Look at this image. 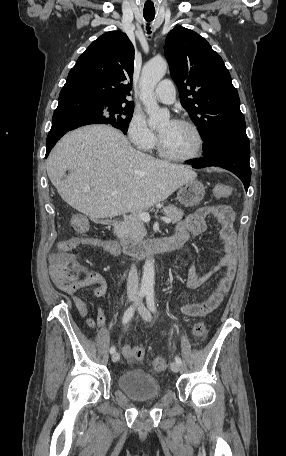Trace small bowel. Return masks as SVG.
<instances>
[{
  "instance_id": "small-bowel-1",
  "label": "small bowel",
  "mask_w": 286,
  "mask_h": 456,
  "mask_svg": "<svg viewBox=\"0 0 286 456\" xmlns=\"http://www.w3.org/2000/svg\"><path fill=\"white\" fill-rule=\"evenodd\" d=\"M210 219L215 220L221 226V240L225 252L224 257L220 266L214 271L206 272L202 266H191L187 272V284L192 289H199L207 283L219 268H224V276L219 281L217 288L203 301L185 304L178 308L183 315L188 317H202L213 312L229 291L236 274L239 249L236 243V233L233 228L234 213L229 206L215 205L199 208L196 212L187 215L177 223L174 235L184 238L185 241L190 234L200 235L207 230ZM81 246L98 248L113 256H120L121 254L120 247L117 243L101 237L74 236L59 243L60 249L66 247L68 251ZM54 283L58 289L72 296L77 310L82 316L87 317L89 327H94L96 324L101 328L106 327V317L103 309L97 306L96 316H89L86 303L81 297L76 295L78 290H87L93 296H104L108 291V283L102 274L94 271L88 272L84 282L76 290H69L55 281ZM135 347L132 345L122 346L123 354L127 360L132 361L128 358L127 353Z\"/></svg>"
}]
</instances>
